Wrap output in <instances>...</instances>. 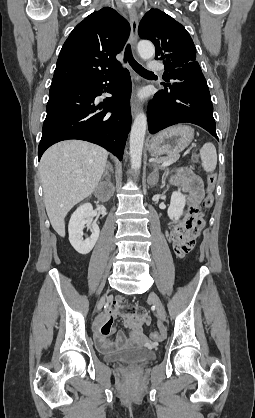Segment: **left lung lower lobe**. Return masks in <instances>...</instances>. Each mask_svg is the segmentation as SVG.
Listing matches in <instances>:
<instances>
[{
	"label": "left lung lower lobe",
	"mask_w": 255,
	"mask_h": 418,
	"mask_svg": "<svg viewBox=\"0 0 255 418\" xmlns=\"http://www.w3.org/2000/svg\"><path fill=\"white\" fill-rule=\"evenodd\" d=\"M164 90L157 92L148 106L150 134L177 123H193L218 139L213 106L199 65L168 72Z\"/></svg>",
	"instance_id": "0a47b994"
}]
</instances>
